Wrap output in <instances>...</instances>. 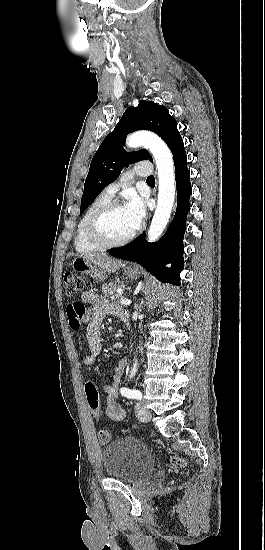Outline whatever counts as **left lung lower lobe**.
<instances>
[{
  "label": "left lung lower lobe",
  "instance_id": "1",
  "mask_svg": "<svg viewBox=\"0 0 265 550\" xmlns=\"http://www.w3.org/2000/svg\"><path fill=\"white\" fill-rule=\"evenodd\" d=\"M172 154L177 186V208L167 232L154 243L147 242L143 233L130 244L110 250L109 254L139 263L162 282L179 285V275L184 268L183 238L192 188L183 142L172 151ZM169 263L172 266L167 268L166 264Z\"/></svg>",
  "mask_w": 265,
  "mask_h": 550
}]
</instances>
